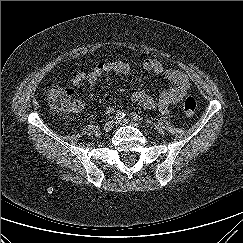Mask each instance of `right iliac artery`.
<instances>
[{
  "instance_id": "82829eb1",
  "label": "right iliac artery",
  "mask_w": 243,
  "mask_h": 243,
  "mask_svg": "<svg viewBox=\"0 0 243 243\" xmlns=\"http://www.w3.org/2000/svg\"><path fill=\"white\" fill-rule=\"evenodd\" d=\"M125 113L123 111H118L115 116H114V119L115 120H121L125 117Z\"/></svg>"
}]
</instances>
